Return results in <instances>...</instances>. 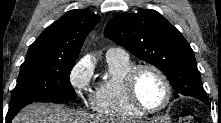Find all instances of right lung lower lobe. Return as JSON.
<instances>
[{"mask_svg":"<svg viewBox=\"0 0 221 123\" xmlns=\"http://www.w3.org/2000/svg\"><path fill=\"white\" fill-rule=\"evenodd\" d=\"M15 115L16 114H12V115L7 114V118L9 119V121H12Z\"/></svg>","mask_w":221,"mask_h":123,"instance_id":"1","label":"right lung lower lobe"}]
</instances>
